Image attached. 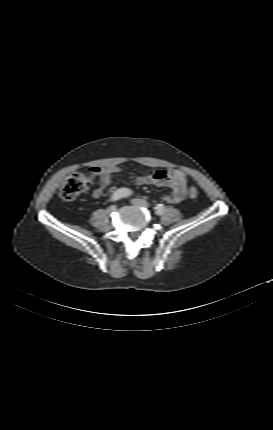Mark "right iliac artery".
<instances>
[{
    "mask_svg": "<svg viewBox=\"0 0 273 430\" xmlns=\"http://www.w3.org/2000/svg\"><path fill=\"white\" fill-rule=\"evenodd\" d=\"M132 194V191L128 188H120L113 192L111 195V201L115 202L119 199L128 197Z\"/></svg>",
    "mask_w": 273,
    "mask_h": 430,
    "instance_id": "82829eb1",
    "label": "right iliac artery"
}]
</instances>
